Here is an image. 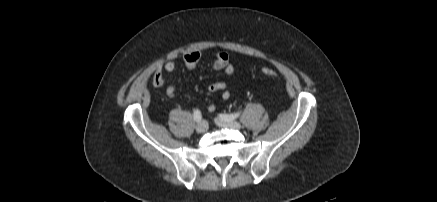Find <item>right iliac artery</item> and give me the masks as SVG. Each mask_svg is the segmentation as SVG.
Wrapping results in <instances>:
<instances>
[{"instance_id":"obj_1","label":"right iliac artery","mask_w":437,"mask_h":202,"mask_svg":"<svg viewBox=\"0 0 437 202\" xmlns=\"http://www.w3.org/2000/svg\"><path fill=\"white\" fill-rule=\"evenodd\" d=\"M193 117H194V120L196 121V122H200L201 121V119H202V115H201V112H200V110H195L194 111V114H193Z\"/></svg>"}]
</instances>
